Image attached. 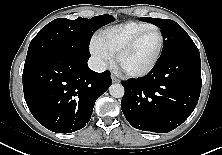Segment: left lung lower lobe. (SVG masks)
Segmentation results:
<instances>
[{"instance_id": "obj_1", "label": "left lung lower lobe", "mask_w": 222, "mask_h": 155, "mask_svg": "<svg viewBox=\"0 0 222 155\" xmlns=\"http://www.w3.org/2000/svg\"><path fill=\"white\" fill-rule=\"evenodd\" d=\"M121 109L127 121L144 131L169 132L193 112L201 91L200 53L158 59L150 73L122 82Z\"/></svg>"}]
</instances>
